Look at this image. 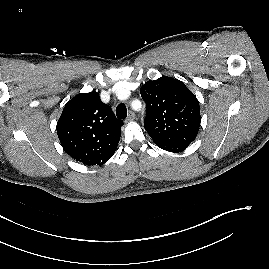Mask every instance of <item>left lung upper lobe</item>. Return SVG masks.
<instances>
[{"label":"left lung upper lobe","mask_w":269,"mask_h":269,"mask_svg":"<svg viewBox=\"0 0 269 269\" xmlns=\"http://www.w3.org/2000/svg\"><path fill=\"white\" fill-rule=\"evenodd\" d=\"M140 93L146 103L144 128L156 145L188 146L196 138L199 102L183 82L161 77L145 83Z\"/></svg>","instance_id":"1"}]
</instances>
